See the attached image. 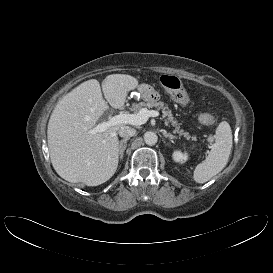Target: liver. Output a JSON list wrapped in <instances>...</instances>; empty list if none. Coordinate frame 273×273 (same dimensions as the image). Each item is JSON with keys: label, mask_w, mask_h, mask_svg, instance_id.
<instances>
[{"label": "liver", "mask_w": 273, "mask_h": 273, "mask_svg": "<svg viewBox=\"0 0 273 273\" xmlns=\"http://www.w3.org/2000/svg\"><path fill=\"white\" fill-rule=\"evenodd\" d=\"M138 80L126 74L108 75L102 82L90 79L65 95L56 105L47 129L50 159L57 174L72 182L97 186L116 172L119 158L117 131L125 124L90 134L109 108L124 106Z\"/></svg>", "instance_id": "6515ba94"}]
</instances>
